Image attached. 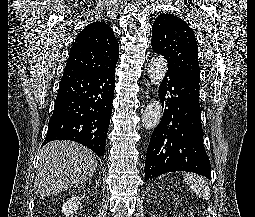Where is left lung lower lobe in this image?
<instances>
[{
	"instance_id": "0a47b994",
	"label": "left lung lower lobe",
	"mask_w": 255,
	"mask_h": 217,
	"mask_svg": "<svg viewBox=\"0 0 255 217\" xmlns=\"http://www.w3.org/2000/svg\"><path fill=\"white\" fill-rule=\"evenodd\" d=\"M199 87L192 77L168 69L159 87L165 109L150 138L145 181L175 171L210 178L211 165L203 145Z\"/></svg>"
}]
</instances>
